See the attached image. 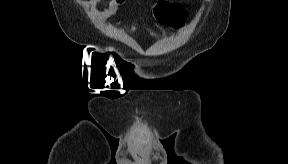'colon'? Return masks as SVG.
<instances>
[{
	"mask_svg": "<svg viewBox=\"0 0 288 164\" xmlns=\"http://www.w3.org/2000/svg\"><path fill=\"white\" fill-rule=\"evenodd\" d=\"M159 24L172 29H181L187 22L185 10L177 3L162 2L155 9Z\"/></svg>",
	"mask_w": 288,
	"mask_h": 164,
	"instance_id": "obj_1",
	"label": "colon"
}]
</instances>
